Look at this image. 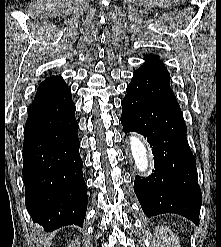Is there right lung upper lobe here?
<instances>
[{
  "mask_svg": "<svg viewBox=\"0 0 221 247\" xmlns=\"http://www.w3.org/2000/svg\"><path fill=\"white\" fill-rule=\"evenodd\" d=\"M67 89V84L61 76L46 78L38 87L33 102L45 99Z\"/></svg>",
  "mask_w": 221,
  "mask_h": 247,
  "instance_id": "obj_1",
  "label": "right lung upper lobe"
}]
</instances>
